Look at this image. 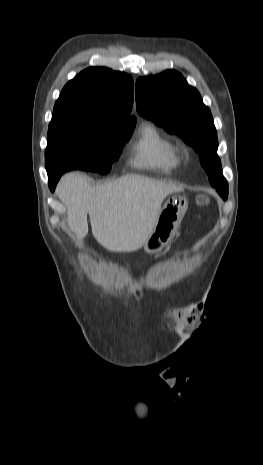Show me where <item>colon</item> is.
I'll use <instances>...</instances> for the list:
<instances>
[{
    "label": "colon",
    "instance_id": "5ec220e1",
    "mask_svg": "<svg viewBox=\"0 0 263 465\" xmlns=\"http://www.w3.org/2000/svg\"><path fill=\"white\" fill-rule=\"evenodd\" d=\"M197 202H198L199 205L205 206V205H207L209 203V198L207 196H205V195H200L197 198Z\"/></svg>",
    "mask_w": 263,
    "mask_h": 465
}]
</instances>
